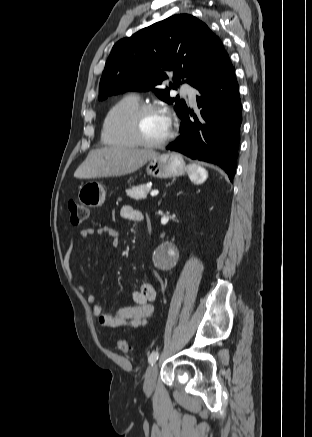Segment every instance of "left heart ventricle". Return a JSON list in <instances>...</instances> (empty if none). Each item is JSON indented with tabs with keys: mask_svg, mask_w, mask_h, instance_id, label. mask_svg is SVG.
I'll use <instances>...</instances> for the list:
<instances>
[{
	"mask_svg": "<svg viewBox=\"0 0 312 437\" xmlns=\"http://www.w3.org/2000/svg\"><path fill=\"white\" fill-rule=\"evenodd\" d=\"M170 130V122L165 113L152 112L142 119V131L146 138L152 141L164 139Z\"/></svg>",
	"mask_w": 312,
	"mask_h": 437,
	"instance_id": "1",
	"label": "left heart ventricle"
}]
</instances>
